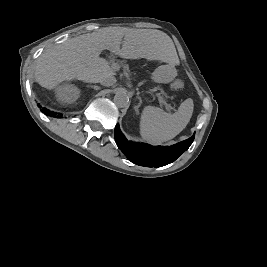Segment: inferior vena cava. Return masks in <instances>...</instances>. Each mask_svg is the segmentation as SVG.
<instances>
[{
  "label": "inferior vena cava",
  "instance_id": "1",
  "mask_svg": "<svg viewBox=\"0 0 267 267\" xmlns=\"http://www.w3.org/2000/svg\"><path fill=\"white\" fill-rule=\"evenodd\" d=\"M94 82L101 83L104 86H112L113 84H115L116 79L114 76L110 74H105L102 77H100L98 80H95Z\"/></svg>",
  "mask_w": 267,
  "mask_h": 267
}]
</instances>
